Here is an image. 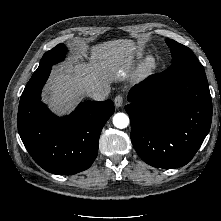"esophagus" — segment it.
Returning <instances> with one entry per match:
<instances>
[{
  "mask_svg": "<svg viewBox=\"0 0 221 221\" xmlns=\"http://www.w3.org/2000/svg\"><path fill=\"white\" fill-rule=\"evenodd\" d=\"M114 105L115 107L119 108L123 105V97L121 95H118L114 99Z\"/></svg>",
  "mask_w": 221,
  "mask_h": 221,
  "instance_id": "esophagus-1",
  "label": "esophagus"
}]
</instances>
